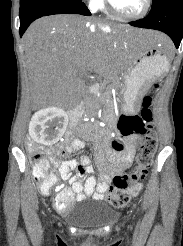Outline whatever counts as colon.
I'll return each mask as SVG.
<instances>
[{
	"mask_svg": "<svg viewBox=\"0 0 183 246\" xmlns=\"http://www.w3.org/2000/svg\"><path fill=\"white\" fill-rule=\"evenodd\" d=\"M157 85H154L156 88ZM153 92V91H152ZM152 94L143 98L142 109L139 115L125 114L118 121V130L123 136L142 134L144 141L139 146L137 163L131 169L116 175L112 179L106 200L116 208L126 206L129 201L136 197L141 189V182L148 174L153 157L156 153L158 141L153 125ZM112 152H124V144L117 141L112 142ZM33 172L41 190H50L54 184L55 176L49 171L48 163L44 153L32 144L28 146ZM55 206L59 212L71 208L72 202L69 198L58 195L55 198Z\"/></svg>",
	"mask_w": 183,
	"mask_h": 246,
	"instance_id": "5ec220e1",
	"label": "colon"
}]
</instances>
